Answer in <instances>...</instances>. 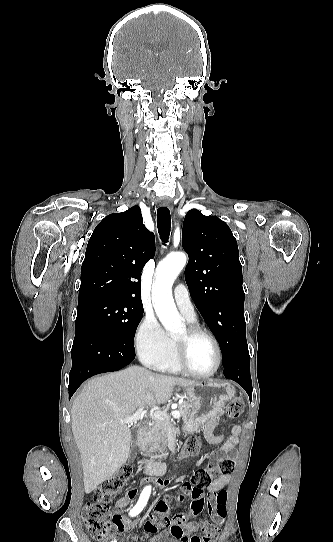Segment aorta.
Returning <instances> with one entry per match:
<instances>
[{"label": "aorta", "mask_w": 333, "mask_h": 542, "mask_svg": "<svg viewBox=\"0 0 333 542\" xmlns=\"http://www.w3.org/2000/svg\"><path fill=\"white\" fill-rule=\"evenodd\" d=\"M185 254H168L156 268L153 290L154 310L165 330L174 332L183 328L181 316L174 304L172 284L186 264Z\"/></svg>", "instance_id": "1"}]
</instances>
